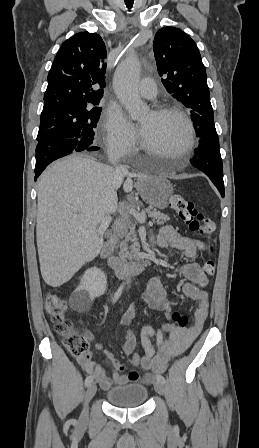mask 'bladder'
Listing matches in <instances>:
<instances>
[{"mask_svg":"<svg viewBox=\"0 0 259 448\" xmlns=\"http://www.w3.org/2000/svg\"><path fill=\"white\" fill-rule=\"evenodd\" d=\"M106 398L110 404L117 407H138L147 400L148 389L141 384L116 386L107 391Z\"/></svg>","mask_w":259,"mask_h":448,"instance_id":"31cf9c89","label":"bladder"}]
</instances>
